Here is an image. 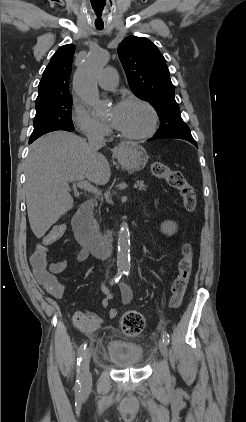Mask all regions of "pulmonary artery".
Listing matches in <instances>:
<instances>
[{
    "mask_svg": "<svg viewBox=\"0 0 246 422\" xmlns=\"http://www.w3.org/2000/svg\"><path fill=\"white\" fill-rule=\"evenodd\" d=\"M118 82L117 73L114 68H105L98 77V85L103 89H113Z\"/></svg>",
    "mask_w": 246,
    "mask_h": 422,
    "instance_id": "pulmonary-artery-1",
    "label": "pulmonary artery"
}]
</instances>
